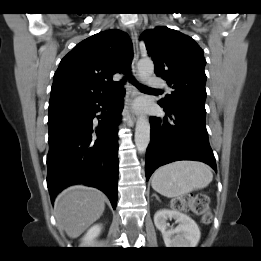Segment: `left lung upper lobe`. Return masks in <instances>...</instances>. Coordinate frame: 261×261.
Segmentation results:
<instances>
[{
	"mask_svg": "<svg viewBox=\"0 0 261 261\" xmlns=\"http://www.w3.org/2000/svg\"><path fill=\"white\" fill-rule=\"evenodd\" d=\"M148 54L154 61V72L173 89L159 104L171 107L179 101L205 109L206 60L201 47L189 36L168 27L145 31Z\"/></svg>",
	"mask_w": 261,
	"mask_h": 261,
	"instance_id": "1",
	"label": "left lung upper lobe"
}]
</instances>
